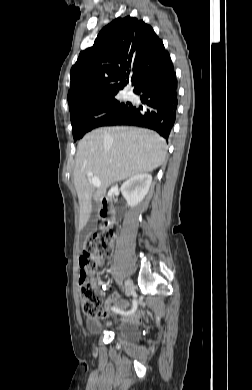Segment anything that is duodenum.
Here are the masks:
<instances>
[{
  "instance_id": "obj_1",
  "label": "duodenum",
  "mask_w": 252,
  "mask_h": 390,
  "mask_svg": "<svg viewBox=\"0 0 252 390\" xmlns=\"http://www.w3.org/2000/svg\"><path fill=\"white\" fill-rule=\"evenodd\" d=\"M101 205H102L101 216L105 219L104 227L108 228L113 223V217L111 214V204L107 198H103L101 200Z\"/></svg>"
}]
</instances>
